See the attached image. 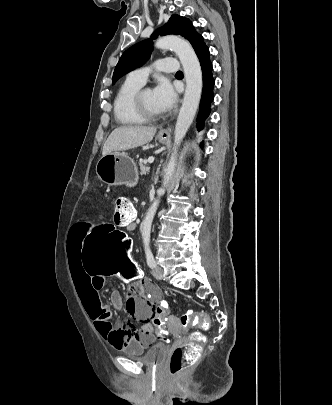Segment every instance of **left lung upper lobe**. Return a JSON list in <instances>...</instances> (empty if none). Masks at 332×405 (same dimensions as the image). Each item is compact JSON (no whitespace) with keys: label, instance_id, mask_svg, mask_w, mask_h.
<instances>
[{"label":"left lung upper lobe","instance_id":"left-lung-upper-lobe-1","mask_svg":"<svg viewBox=\"0 0 332 405\" xmlns=\"http://www.w3.org/2000/svg\"><path fill=\"white\" fill-rule=\"evenodd\" d=\"M159 34H175L183 36L191 43L196 54L205 46L204 38L196 32L189 19L179 15H172L162 28L157 29L152 34L150 39L131 46L122 54L114 70L113 83L124 74L142 66L149 59L152 51V39H155Z\"/></svg>","mask_w":332,"mask_h":405}]
</instances>
